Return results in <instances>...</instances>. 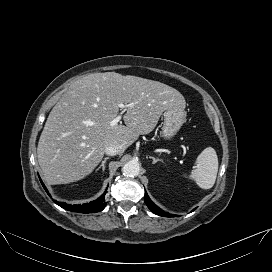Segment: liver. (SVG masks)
<instances>
[{
	"mask_svg": "<svg viewBox=\"0 0 272 272\" xmlns=\"http://www.w3.org/2000/svg\"><path fill=\"white\" fill-rule=\"evenodd\" d=\"M121 103H133L123 117L126 126H110ZM185 104L176 89L137 76L105 72L75 81L51 110L38 142L44 180L67 184L84 178L106 146L114 144L123 154L139 135L153 131L165 110Z\"/></svg>",
	"mask_w": 272,
	"mask_h": 272,
	"instance_id": "6515ba94",
	"label": "liver"
}]
</instances>
